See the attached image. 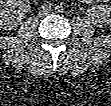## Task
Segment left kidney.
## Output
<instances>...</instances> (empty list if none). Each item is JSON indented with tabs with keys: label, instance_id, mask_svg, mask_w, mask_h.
Wrapping results in <instances>:
<instances>
[{
	"label": "left kidney",
	"instance_id": "1",
	"mask_svg": "<svg viewBox=\"0 0 111 106\" xmlns=\"http://www.w3.org/2000/svg\"><path fill=\"white\" fill-rule=\"evenodd\" d=\"M92 17H96V22L110 24L111 23V7L105 5L93 6L88 10Z\"/></svg>",
	"mask_w": 111,
	"mask_h": 106
}]
</instances>
